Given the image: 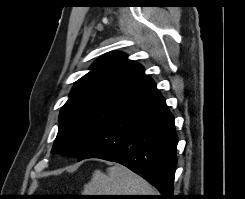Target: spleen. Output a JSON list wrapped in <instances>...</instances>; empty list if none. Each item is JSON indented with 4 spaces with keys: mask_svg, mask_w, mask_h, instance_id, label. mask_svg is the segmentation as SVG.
<instances>
[{
    "mask_svg": "<svg viewBox=\"0 0 245 199\" xmlns=\"http://www.w3.org/2000/svg\"><path fill=\"white\" fill-rule=\"evenodd\" d=\"M83 195H158L143 178L122 165H114L107 173L95 170L84 186Z\"/></svg>",
    "mask_w": 245,
    "mask_h": 199,
    "instance_id": "1",
    "label": "spleen"
}]
</instances>
